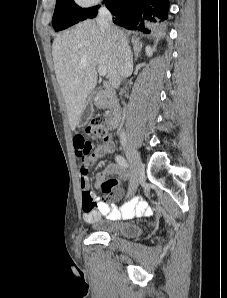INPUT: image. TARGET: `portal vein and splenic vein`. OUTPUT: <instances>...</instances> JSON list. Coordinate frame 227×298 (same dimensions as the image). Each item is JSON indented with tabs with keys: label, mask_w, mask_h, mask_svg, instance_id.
<instances>
[{
	"label": "portal vein and splenic vein",
	"mask_w": 227,
	"mask_h": 298,
	"mask_svg": "<svg viewBox=\"0 0 227 298\" xmlns=\"http://www.w3.org/2000/svg\"><path fill=\"white\" fill-rule=\"evenodd\" d=\"M98 73L101 75V76H106L107 75V69L105 66H98Z\"/></svg>",
	"instance_id": "18ae733b"
}]
</instances>
